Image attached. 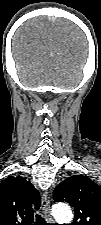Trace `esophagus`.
<instances>
[{
	"label": "esophagus",
	"instance_id": "34e87169",
	"mask_svg": "<svg viewBox=\"0 0 101 225\" xmlns=\"http://www.w3.org/2000/svg\"><path fill=\"white\" fill-rule=\"evenodd\" d=\"M41 206H42V211H43V214L45 216L46 221L48 223H53L54 220H53V218L51 216V213H50V197H49V194L47 192H45L42 195Z\"/></svg>",
	"mask_w": 101,
	"mask_h": 225
}]
</instances>
